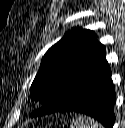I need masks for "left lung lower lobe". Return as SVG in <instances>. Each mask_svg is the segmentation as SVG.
Listing matches in <instances>:
<instances>
[{"mask_svg":"<svg viewBox=\"0 0 125 128\" xmlns=\"http://www.w3.org/2000/svg\"><path fill=\"white\" fill-rule=\"evenodd\" d=\"M115 99L110 68L104 55L83 76L69 102L55 112L83 113L98 120L105 128H112Z\"/></svg>","mask_w":125,"mask_h":128,"instance_id":"0a47b994","label":"left lung lower lobe"}]
</instances>
